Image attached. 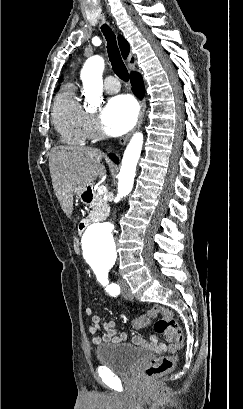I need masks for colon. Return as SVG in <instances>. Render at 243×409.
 I'll return each instance as SVG.
<instances>
[{
  "instance_id": "5ec220e1",
  "label": "colon",
  "mask_w": 243,
  "mask_h": 409,
  "mask_svg": "<svg viewBox=\"0 0 243 409\" xmlns=\"http://www.w3.org/2000/svg\"><path fill=\"white\" fill-rule=\"evenodd\" d=\"M73 250L78 253L80 251V245L77 238L73 241ZM155 318H158L154 323V330L156 333L162 335L165 339H173L177 347H181L183 344V332L173 317L172 312L166 307L156 305L150 309V311L134 320L135 327H145L151 323ZM175 355L159 356L152 359L145 368V374L149 379L156 378L158 376L169 373L173 370L176 364Z\"/></svg>"
}]
</instances>
